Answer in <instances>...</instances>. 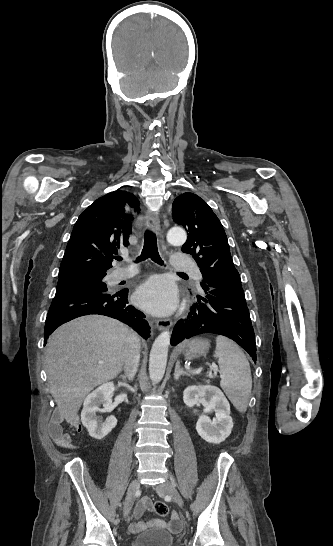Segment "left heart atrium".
I'll list each match as a JSON object with an SVG mask.
<instances>
[{"label": "left heart atrium", "instance_id": "1", "mask_svg": "<svg viewBox=\"0 0 333 546\" xmlns=\"http://www.w3.org/2000/svg\"><path fill=\"white\" fill-rule=\"evenodd\" d=\"M135 300L154 315L169 314L177 304L174 285L160 276L152 277L141 284L135 292Z\"/></svg>", "mask_w": 333, "mask_h": 546}]
</instances>
